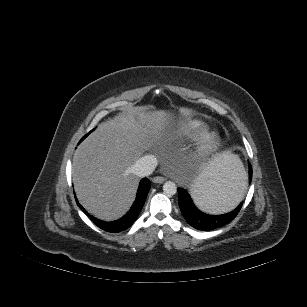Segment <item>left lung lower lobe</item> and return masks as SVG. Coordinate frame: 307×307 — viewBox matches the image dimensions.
<instances>
[{"mask_svg":"<svg viewBox=\"0 0 307 307\" xmlns=\"http://www.w3.org/2000/svg\"><path fill=\"white\" fill-rule=\"evenodd\" d=\"M252 180V167L249 163V182ZM240 200L246 191V181L240 182ZM179 207L187 223L198 230L210 231L219 228L232 221L239 213L243 202H241L233 211L222 215H208L197 209L189 193L182 188H178Z\"/></svg>","mask_w":307,"mask_h":307,"instance_id":"1","label":"left lung lower lobe"}]
</instances>
